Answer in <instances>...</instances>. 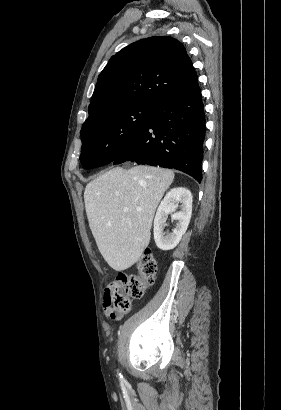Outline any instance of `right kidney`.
<instances>
[{
  "instance_id": "right-kidney-1",
  "label": "right kidney",
  "mask_w": 281,
  "mask_h": 410,
  "mask_svg": "<svg viewBox=\"0 0 281 410\" xmlns=\"http://www.w3.org/2000/svg\"><path fill=\"white\" fill-rule=\"evenodd\" d=\"M181 210L175 212L179 207ZM173 214V219L178 223L172 233L165 235L167 215ZM192 213V194L183 187L171 189L160 203L154 219V240L161 250H171L177 246L183 234L186 232Z\"/></svg>"
}]
</instances>
